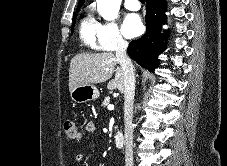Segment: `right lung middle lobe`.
Returning <instances> with one entry per match:
<instances>
[{
	"instance_id": "right-lung-middle-lobe-1",
	"label": "right lung middle lobe",
	"mask_w": 227,
	"mask_h": 166,
	"mask_svg": "<svg viewBox=\"0 0 227 166\" xmlns=\"http://www.w3.org/2000/svg\"><path fill=\"white\" fill-rule=\"evenodd\" d=\"M81 6H82V5H78L77 10H78ZM75 19H76V14L74 15V18H73L72 32H73V27H74V24H75Z\"/></svg>"
}]
</instances>
